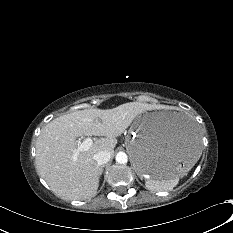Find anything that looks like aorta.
<instances>
[{"mask_svg": "<svg viewBox=\"0 0 233 233\" xmlns=\"http://www.w3.org/2000/svg\"><path fill=\"white\" fill-rule=\"evenodd\" d=\"M115 159L119 164H125L128 161V157L124 152H118Z\"/></svg>", "mask_w": 233, "mask_h": 233, "instance_id": "762f6f07", "label": "aorta"}]
</instances>
